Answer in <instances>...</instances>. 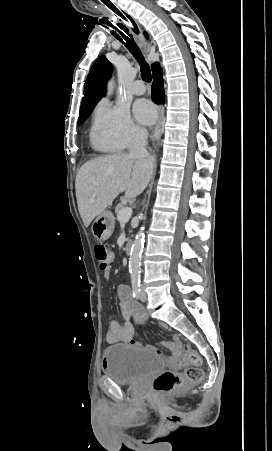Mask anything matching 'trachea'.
Listing matches in <instances>:
<instances>
[{"label": "trachea", "instance_id": "3493384b", "mask_svg": "<svg viewBox=\"0 0 272 451\" xmlns=\"http://www.w3.org/2000/svg\"><path fill=\"white\" fill-rule=\"evenodd\" d=\"M130 22L135 25L132 18L129 17ZM117 26L122 30L121 34L113 33V36L117 38L121 43H124V45L128 48V50L132 53V55L135 57V59L141 64V77L144 81L150 82L151 81V71L149 65L145 62L143 55L136 45L133 36L129 34V30L127 27H125L122 24H117Z\"/></svg>", "mask_w": 272, "mask_h": 451}]
</instances>
